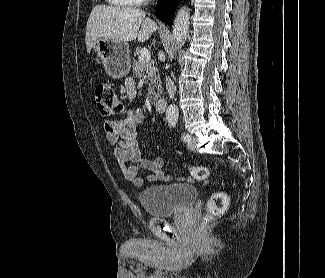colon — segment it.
I'll list each match as a JSON object with an SVG mask.
<instances>
[{
    "label": "colon",
    "instance_id": "colon-1",
    "mask_svg": "<svg viewBox=\"0 0 325 278\" xmlns=\"http://www.w3.org/2000/svg\"><path fill=\"white\" fill-rule=\"evenodd\" d=\"M94 100L97 109L104 116H114L124 110L122 100L110 84H98L94 91ZM189 172L191 178L197 181H206L210 178V170L206 166L189 167ZM227 205L228 195L223 191H215L208 201L203 227L218 218L225 211Z\"/></svg>",
    "mask_w": 325,
    "mask_h": 278
}]
</instances>
